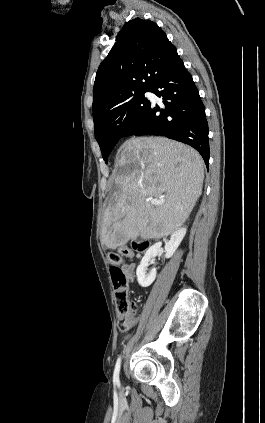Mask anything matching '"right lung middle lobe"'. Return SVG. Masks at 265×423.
Wrapping results in <instances>:
<instances>
[{
	"mask_svg": "<svg viewBox=\"0 0 265 423\" xmlns=\"http://www.w3.org/2000/svg\"><path fill=\"white\" fill-rule=\"evenodd\" d=\"M147 91L149 90L124 99L94 122L95 138L106 163L118 140L150 107V101L144 97Z\"/></svg>",
	"mask_w": 265,
	"mask_h": 423,
	"instance_id": "obj_1",
	"label": "right lung middle lobe"
}]
</instances>
